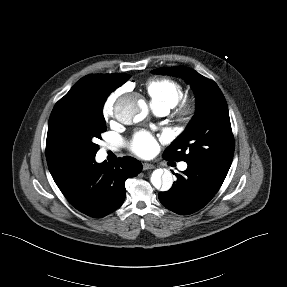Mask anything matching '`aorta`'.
<instances>
[{"instance_id": "aorta-1", "label": "aorta", "mask_w": 287, "mask_h": 287, "mask_svg": "<svg viewBox=\"0 0 287 287\" xmlns=\"http://www.w3.org/2000/svg\"><path fill=\"white\" fill-rule=\"evenodd\" d=\"M114 114L123 124L140 122L147 115V105L137 94H127L118 99ZM150 181L157 190L168 191L173 184L172 173L168 170L156 169L153 171Z\"/></svg>"}]
</instances>
